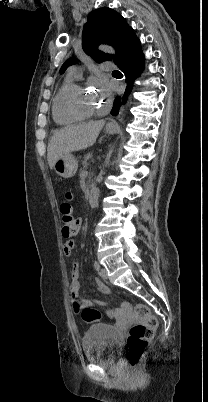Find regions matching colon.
<instances>
[{
  "instance_id": "1",
  "label": "colon",
  "mask_w": 208,
  "mask_h": 402,
  "mask_svg": "<svg viewBox=\"0 0 208 402\" xmlns=\"http://www.w3.org/2000/svg\"><path fill=\"white\" fill-rule=\"evenodd\" d=\"M73 192L66 190L64 193V201L60 205L61 212V229L62 235L67 238L68 235H74L75 224L79 222L73 215L72 206ZM73 311L79 313L84 321L92 323L99 321L101 315L99 311L93 307L85 306L80 297L76 296L72 300ZM136 315L140 318L141 324H128L127 331L129 333L127 343L129 347V362L132 365L137 364L144 356L148 347L149 340L153 337L156 327H159V318H149L150 311L146 307H135Z\"/></svg>"
}]
</instances>
